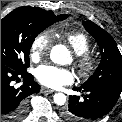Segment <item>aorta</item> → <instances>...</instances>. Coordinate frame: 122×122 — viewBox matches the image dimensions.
<instances>
[{"instance_id":"obj_1","label":"aorta","mask_w":122,"mask_h":122,"mask_svg":"<svg viewBox=\"0 0 122 122\" xmlns=\"http://www.w3.org/2000/svg\"><path fill=\"white\" fill-rule=\"evenodd\" d=\"M50 58L54 63L66 64L70 59V52L64 45H55L50 52ZM56 105L62 106L66 102V95L63 93H56L53 97Z\"/></svg>"}]
</instances>
